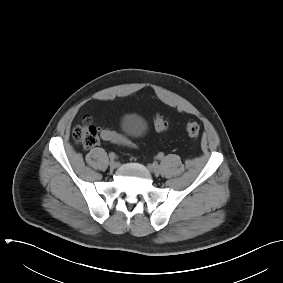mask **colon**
Instances as JSON below:
<instances>
[{
  "label": "colon",
  "mask_w": 283,
  "mask_h": 283,
  "mask_svg": "<svg viewBox=\"0 0 283 283\" xmlns=\"http://www.w3.org/2000/svg\"><path fill=\"white\" fill-rule=\"evenodd\" d=\"M153 124L157 132L164 133L168 130V123L160 114L154 115ZM185 130L189 137L197 139L200 135L201 127L198 122L191 121L186 124ZM72 137L74 141L83 148H91L95 146L100 139L112 144L127 145V142L116 132L107 128L99 130L92 125L89 117H85L82 123L73 128Z\"/></svg>",
  "instance_id": "5ec220e1"
}]
</instances>
